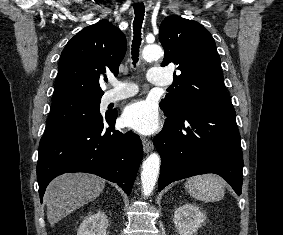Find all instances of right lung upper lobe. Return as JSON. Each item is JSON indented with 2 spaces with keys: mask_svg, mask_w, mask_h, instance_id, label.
<instances>
[{
  "mask_svg": "<svg viewBox=\"0 0 283 235\" xmlns=\"http://www.w3.org/2000/svg\"><path fill=\"white\" fill-rule=\"evenodd\" d=\"M125 52V35L109 21L85 27L62 51L52 102L102 97L99 80L109 72L117 76Z\"/></svg>",
  "mask_w": 283,
  "mask_h": 235,
  "instance_id": "cb5924a9",
  "label": "right lung upper lobe"
}]
</instances>
